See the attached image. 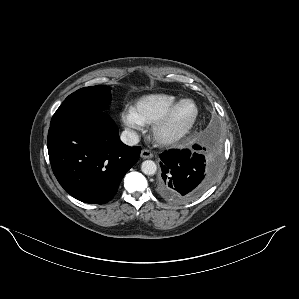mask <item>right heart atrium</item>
Returning a JSON list of instances; mask_svg holds the SVG:
<instances>
[{"label": "right heart atrium", "instance_id": "right-heart-atrium-1", "mask_svg": "<svg viewBox=\"0 0 299 299\" xmlns=\"http://www.w3.org/2000/svg\"><path fill=\"white\" fill-rule=\"evenodd\" d=\"M121 121L123 125L131 131H140L144 126L132 108H126L121 112Z\"/></svg>", "mask_w": 299, "mask_h": 299}]
</instances>
